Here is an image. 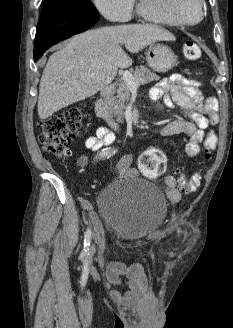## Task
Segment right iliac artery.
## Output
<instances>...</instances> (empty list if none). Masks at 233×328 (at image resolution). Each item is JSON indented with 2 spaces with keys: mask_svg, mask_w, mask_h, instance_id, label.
Segmentation results:
<instances>
[{
  "mask_svg": "<svg viewBox=\"0 0 233 328\" xmlns=\"http://www.w3.org/2000/svg\"><path fill=\"white\" fill-rule=\"evenodd\" d=\"M114 153H115V151L107 150V151L101 153L100 157L109 158ZM90 243H91V230L88 228L84 235V247H83L82 252L80 253V259H84V257L88 256Z\"/></svg>",
  "mask_w": 233,
  "mask_h": 328,
  "instance_id": "obj_1",
  "label": "right iliac artery"
}]
</instances>
